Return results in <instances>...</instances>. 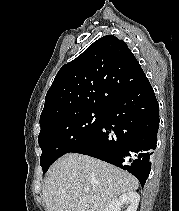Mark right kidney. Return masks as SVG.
<instances>
[{
  "instance_id": "right-kidney-1",
  "label": "right kidney",
  "mask_w": 179,
  "mask_h": 211,
  "mask_svg": "<svg viewBox=\"0 0 179 211\" xmlns=\"http://www.w3.org/2000/svg\"><path fill=\"white\" fill-rule=\"evenodd\" d=\"M140 196L137 192L131 191L122 194L119 198L111 201L104 211H121L124 205H127L126 211H136L139 205Z\"/></svg>"
}]
</instances>
